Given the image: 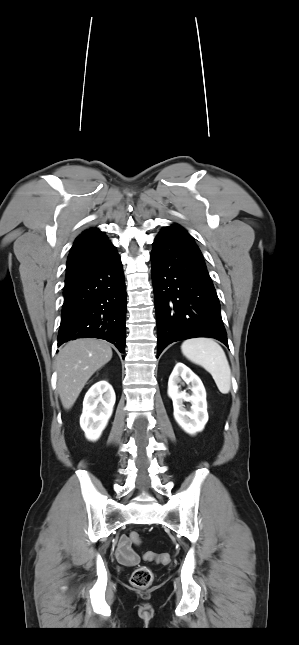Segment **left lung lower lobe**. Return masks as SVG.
<instances>
[{
	"mask_svg": "<svg viewBox=\"0 0 299 645\" xmlns=\"http://www.w3.org/2000/svg\"><path fill=\"white\" fill-rule=\"evenodd\" d=\"M158 349L176 341L211 337L228 347L220 303L203 256L179 225L156 236L151 253Z\"/></svg>",
	"mask_w": 299,
	"mask_h": 645,
	"instance_id": "obj_1",
	"label": "left lung lower lobe"
}]
</instances>
